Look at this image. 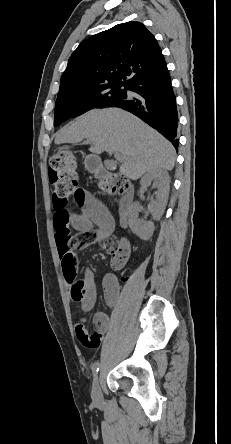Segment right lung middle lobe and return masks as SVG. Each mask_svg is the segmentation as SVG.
Returning a JSON list of instances; mask_svg holds the SVG:
<instances>
[{
    "label": "right lung middle lobe",
    "mask_w": 231,
    "mask_h": 444,
    "mask_svg": "<svg viewBox=\"0 0 231 444\" xmlns=\"http://www.w3.org/2000/svg\"><path fill=\"white\" fill-rule=\"evenodd\" d=\"M127 90H129V85L111 83L58 94L54 112V126L90 109L112 106L127 97Z\"/></svg>",
    "instance_id": "1"
}]
</instances>
